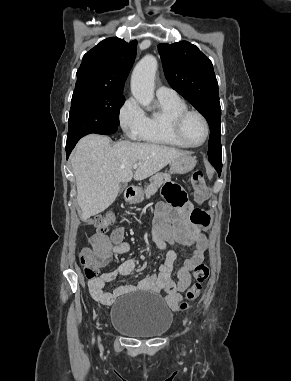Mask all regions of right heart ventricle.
<instances>
[{
    "instance_id": "1",
    "label": "right heart ventricle",
    "mask_w": 291,
    "mask_h": 381,
    "mask_svg": "<svg viewBox=\"0 0 291 381\" xmlns=\"http://www.w3.org/2000/svg\"><path fill=\"white\" fill-rule=\"evenodd\" d=\"M188 109L179 96L173 98L158 97L157 109L145 116L143 129L139 136L145 142L174 148H187L174 134L172 122L180 112Z\"/></svg>"
}]
</instances>
